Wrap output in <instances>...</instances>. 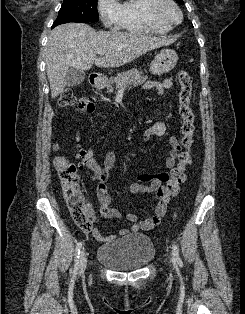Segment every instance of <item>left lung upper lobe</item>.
<instances>
[{"instance_id": "1", "label": "left lung upper lobe", "mask_w": 245, "mask_h": 314, "mask_svg": "<svg viewBox=\"0 0 245 314\" xmlns=\"http://www.w3.org/2000/svg\"><path fill=\"white\" fill-rule=\"evenodd\" d=\"M176 2L179 4H184L183 0H176Z\"/></svg>"}]
</instances>
